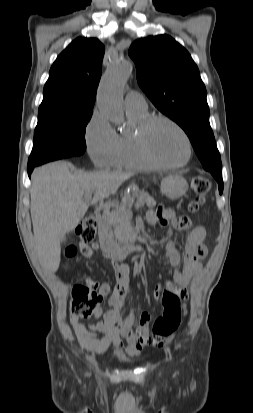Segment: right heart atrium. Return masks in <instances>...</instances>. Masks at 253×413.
<instances>
[{"instance_id":"d8ad5b80","label":"right heart atrium","mask_w":253,"mask_h":413,"mask_svg":"<svg viewBox=\"0 0 253 413\" xmlns=\"http://www.w3.org/2000/svg\"><path fill=\"white\" fill-rule=\"evenodd\" d=\"M88 154L96 167L107 168L112 165L119 144V137L108 119L95 111L85 130Z\"/></svg>"}]
</instances>
